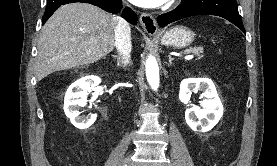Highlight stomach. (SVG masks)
Returning a JSON list of instances; mask_svg holds the SVG:
<instances>
[{
  "label": "stomach",
  "mask_w": 277,
  "mask_h": 166,
  "mask_svg": "<svg viewBox=\"0 0 277 166\" xmlns=\"http://www.w3.org/2000/svg\"><path fill=\"white\" fill-rule=\"evenodd\" d=\"M194 40V33L191 29L185 26H176L165 31L160 36L162 45L174 48H185Z\"/></svg>",
  "instance_id": "obj_1"
}]
</instances>
